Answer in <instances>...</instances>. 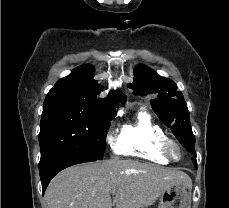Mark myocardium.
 Returning <instances> with one entry per match:
<instances>
[{"label":"myocardium","mask_w":229,"mask_h":208,"mask_svg":"<svg viewBox=\"0 0 229 208\" xmlns=\"http://www.w3.org/2000/svg\"><path fill=\"white\" fill-rule=\"evenodd\" d=\"M162 147L165 148L166 151L164 157L170 158L173 161H179L184 155V147L176 138L168 137L165 143L162 144ZM163 148L159 149L160 153L164 152Z\"/></svg>","instance_id":"1"}]
</instances>
